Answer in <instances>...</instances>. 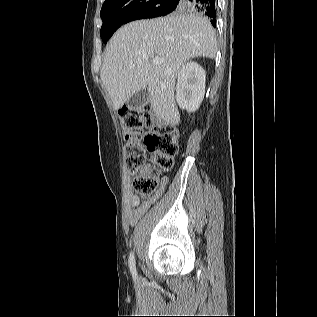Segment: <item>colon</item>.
Wrapping results in <instances>:
<instances>
[{
	"instance_id": "1",
	"label": "colon",
	"mask_w": 317,
	"mask_h": 317,
	"mask_svg": "<svg viewBox=\"0 0 317 317\" xmlns=\"http://www.w3.org/2000/svg\"><path fill=\"white\" fill-rule=\"evenodd\" d=\"M124 133V162L127 169L136 174L135 191L142 197H151L158 188V180L144 174L147 153L152 154L155 167L169 170L178 152L179 133L173 126L156 120L149 106L124 107L120 110Z\"/></svg>"
}]
</instances>
